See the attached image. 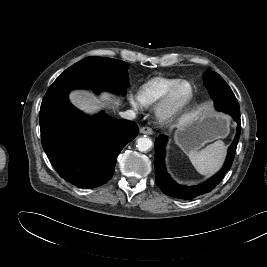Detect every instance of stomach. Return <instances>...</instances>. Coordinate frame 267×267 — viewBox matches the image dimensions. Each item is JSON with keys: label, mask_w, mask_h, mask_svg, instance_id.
Here are the masks:
<instances>
[{"label": "stomach", "mask_w": 267, "mask_h": 267, "mask_svg": "<svg viewBox=\"0 0 267 267\" xmlns=\"http://www.w3.org/2000/svg\"><path fill=\"white\" fill-rule=\"evenodd\" d=\"M229 127V116L204 105L178 125L175 142L185 153H190L209 142L225 138Z\"/></svg>", "instance_id": "stomach-1"}]
</instances>
